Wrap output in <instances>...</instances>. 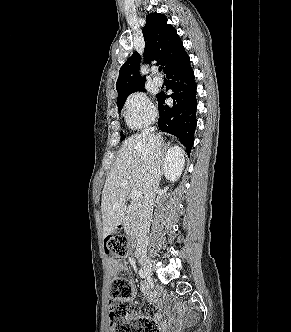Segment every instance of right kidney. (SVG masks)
Instances as JSON below:
<instances>
[{
  "label": "right kidney",
  "instance_id": "obj_1",
  "mask_svg": "<svg viewBox=\"0 0 291 332\" xmlns=\"http://www.w3.org/2000/svg\"><path fill=\"white\" fill-rule=\"evenodd\" d=\"M184 165V158L180 154L178 147H172L168 150L165 159V176L168 180L174 182L180 177Z\"/></svg>",
  "mask_w": 291,
  "mask_h": 332
}]
</instances>
